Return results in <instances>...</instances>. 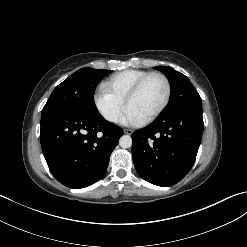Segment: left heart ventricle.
Returning a JSON list of instances; mask_svg holds the SVG:
<instances>
[{
	"instance_id": "1",
	"label": "left heart ventricle",
	"mask_w": 247,
	"mask_h": 247,
	"mask_svg": "<svg viewBox=\"0 0 247 247\" xmlns=\"http://www.w3.org/2000/svg\"><path fill=\"white\" fill-rule=\"evenodd\" d=\"M166 95V85L162 78L151 77L139 93L129 102L128 107L136 111L143 119L156 111Z\"/></svg>"
}]
</instances>
